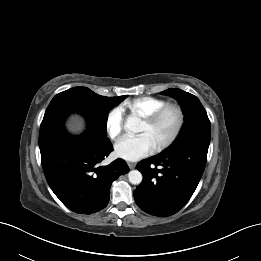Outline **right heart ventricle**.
Masks as SVG:
<instances>
[{
  "instance_id": "e07e8e85",
  "label": "right heart ventricle",
  "mask_w": 261,
  "mask_h": 261,
  "mask_svg": "<svg viewBox=\"0 0 261 261\" xmlns=\"http://www.w3.org/2000/svg\"><path fill=\"white\" fill-rule=\"evenodd\" d=\"M166 104L165 99L144 96L125 101L122 104V110L130 116L144 118Z\"/></svg>"
}]
</instances>
